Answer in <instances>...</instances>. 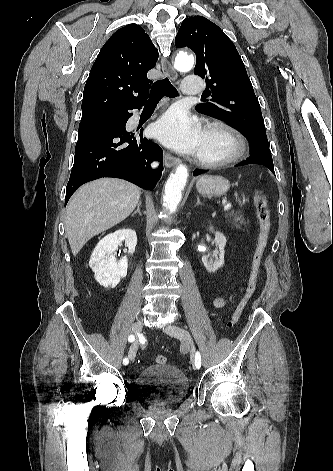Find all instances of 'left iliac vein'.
I'll use <instances>...</instances> for the list:
<instances>
[{"label":"left iliac vein","instance_id":"1","mask_svg":"<svg viewBox=\"0 0 333 471\" xmlns=\"http://www.w3.org/2000/svg\"><path fill=\"white\" fill-rule=\"evenodd\" d=\"M164 332L172 337H175L181 340L183 345L190 349V352H191L190 360H191L192 365L196 367L195 366V347H194L193 340L190 333L182 327H178L171 324L167 325L164 328Z\"/></svg>","mask_w":333,"mask_h":471}]
</instances>
